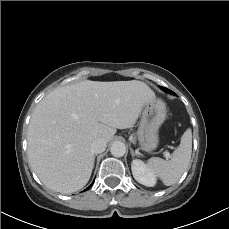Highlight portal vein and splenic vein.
Returning a JSON list of instances; mask_svg holds the SVG:
<instances>
[{"mask_svg": "<svg viewBox=\"0 0 229 229\" xmlns=\"http://www.w3.org/2000/svg\"><path fill=\"white\" fill-rule=\"evenodd\" d=\"M163 154H164V157L166 159H169L170 158V153L169 152H164Z\"/></svg>", "mask_w": 229, "mask_h": 229, "instance_id": "obj_1", "label": "portal vein and splenic vein"}]
</instances>
